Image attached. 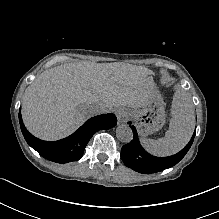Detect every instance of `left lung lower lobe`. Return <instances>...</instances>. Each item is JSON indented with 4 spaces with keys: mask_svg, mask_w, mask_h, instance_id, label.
I'll return each mask as SVG.
<instances>
[{
    "mask_svg": "<svg viewBox=\"0 0 219 219\" xmlns=\"http://www.w3.org/2000/svg\"><path fill=\"white\" fill-rule=\"evenodd\" d=\"M130 127L134 132V138L122 147L121 158L127 167L143 174L160 172L176 165L186 155L195 137L194 132L190 142L177 154L168 157H155L142 148L135 127L132 125Z\"/></svg>",
    "mask_w": 219,
    "mask_h": 219,
    "instance_id": "1",
    "label": "left lung lower lobe"
}]
</instances>
